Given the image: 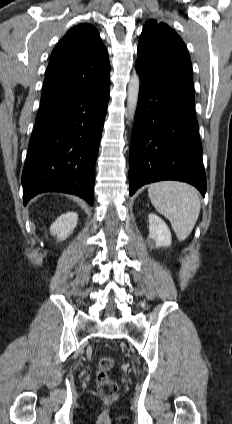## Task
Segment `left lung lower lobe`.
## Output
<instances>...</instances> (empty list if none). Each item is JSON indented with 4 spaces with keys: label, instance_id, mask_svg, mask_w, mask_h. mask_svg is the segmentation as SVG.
<instances>
[{
    "label": "left lung lower lobe",
    "instance_id": "1",
    "mask_svg": "<svg viewBox=\"0 0 232 424\" xmlns=\"http://www.w3.org/2000/svg\"><path fill=\"white\" fill-rule=\"evenodd\" d=\"M139 77L130 145V196L141 186L160 180L190 183L204 196L206 176L193 80Z\"/></svg>",
    "mask_w": 232,
    "mask_h": 424
}]
</instances>
